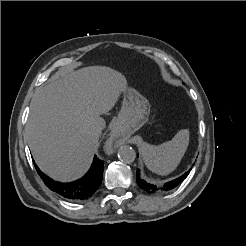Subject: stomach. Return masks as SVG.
I'll list each match as a JSON object with an SVG mask.
<instances>
[{
    "mask_svg": "<svg viewBox=\"0 0 246 246\" xmlns=\"http://www.w3.org/2000/svg\"><path fill=\"white\" fill-rule=\"evenodd\" d=\"M150 114L148 100L135 89L125 91L117 118V128L130 135L147 123Z\"/></svg>",
    "mask_w": 246,
    "mask_h": 246,
    "instance_id": "obj_1",
    "label": "stomach"
}]
</instances>
